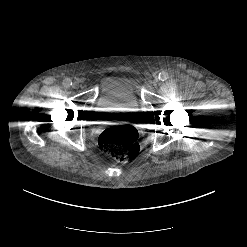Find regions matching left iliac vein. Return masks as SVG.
<instances>
[{
  "label": "left iliac vein",
  "instance_id": "obj_1",
  "mask_svg": "<svg viewBox=\"0 0 247 247\" xmlns=\"http://www.w3.org/2000/svg\"><path fill=\"white\" fill-rule=\"evenodd\" d=\"M152 83V85H157V83H158V79L157 78H155V79H153V81L151 82Z\"/></svg>",
  "mask_w": 247,
  "mask_h": 247
}]
</instances>
